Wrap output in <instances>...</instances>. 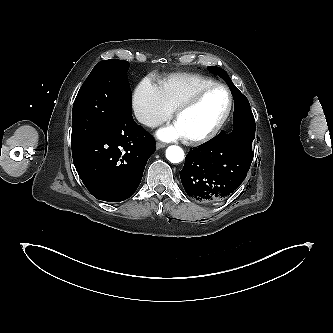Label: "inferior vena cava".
<instances>
[{
  "label": "inferior vena cava",
  "mask_w": 333,
  "mask_h": 333,
  "mask_svg": "<svg viewBox=\"0 0 333 333\" xmlns=\"http://www.w3.org/2000/svg\"><path fill=\"white\" fill-rule=\"evenodd\" d=\"M136 118L139 122H141L147 126H150V127H155L160 124V121H158V120L154 119L153 117L146 115V114L137 113Z\"/></svg>",
  "instance_id": "602c4592"
}]
</instances>
